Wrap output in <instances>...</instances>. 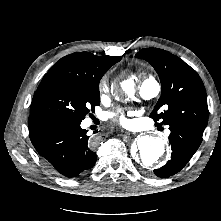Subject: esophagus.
Returning <instances> with one entry per match:
<instances>
[{"instance_id": "obj_1", "label": "esophagus", "mask_w": 221, "mask_h": 221, "mask_svg": "<svg viewBox=\"0 0 221 221\" xmlns=\"http://www.w3.org/2000/svg\"><path fill=\"white\" fill-rule=\"evenodd\" d=\"M123 133H124V135H123L124 137H127L128 135H130V132H128V131H124Z\"/></svg>"}]
</instances>
